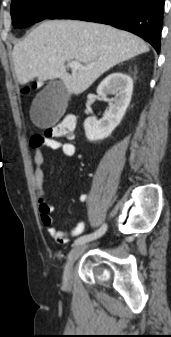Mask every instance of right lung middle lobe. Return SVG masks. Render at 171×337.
<instances>
[{"mask_svg": "<svg viewBox=\"0 0 171 337\" xmlns=\"http://www.w3.org/2000/svg\"><path fill=\"white\" fill-rule=\"evenodd\" d=\"M71 0H12L11 16L14 27H28L48 18Z\"/></svg>", "mask_w": 171, "mask_h": 337, "instance_id": "obj_1", "label": "right lung middle lobe"}]
</instances>
